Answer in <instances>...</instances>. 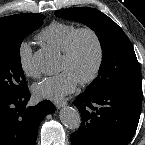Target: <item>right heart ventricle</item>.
I'll list each match as a JSON object with an SVG mask.
<instances>
[{"instance_id":"1","label":"right heart ventricle","mask_w":145,"mask_h":145,"mask_svg":"<svg viewBox=\"0 0 145 145\" xmlns=\"http://www.w3.org/2000/svg\"><path fill=\"white\" fill-rule=\"evenodd\" d=\"M77 29L78 26L72 23L52 22L39 32L37 39L63 52Z\"/></svg>"}]
</instances>
